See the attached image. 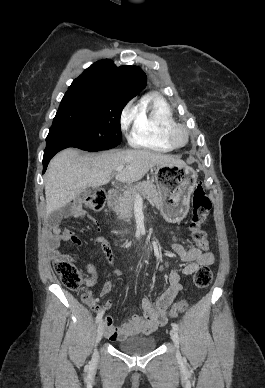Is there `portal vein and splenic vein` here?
<instances>
[{
    "instance_id": "obj_1",
    "label": "portal vein and splenic vein",
    "mask_w": 265,
    "mask_h": 388,
    "mask_svg": "<svg viewBox=\"0 0 265 388\" xmlns=\"http://www.w3.org/2000/svg\"><path fill=\"white\" fill-rule=\"evenodd\" d=\"M121 170H124V166H118V168H116V172H121ZM127 170H133V168H127ZM136 200H141V196L140 194H136L135 196Z\"/></svg>"
}]
</instances>
